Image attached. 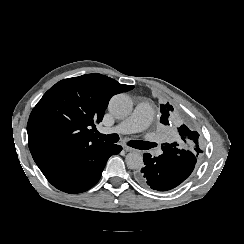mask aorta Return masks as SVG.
Returning <instances> with one entry per match:
<instances>
[{
	"mask_svg": "<svg viewBox=\"0 0 244 244\" xmlns=\"http://www.w3.org/2000/svg\"><path fill=\"white\" fill-rule=\"evenodd\" d=\"M108 109L113 116L121 119L132 112L133 103L126 94H117L111 98ZM125 162L130 169H140L144 165L143 156L137 151L128 153L125 157Z\"/></svg>",
	"mask_w": 244,
	"mask_h": 244,
	"instance_id": "762f6f07",
	"label": "aorta"
}]
</instances>
